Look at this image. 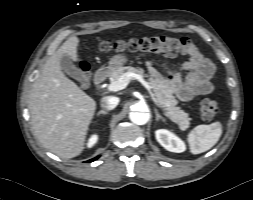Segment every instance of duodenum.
Segmentation results:
<instances>
[{
    "label": "duodenum",
    "instance_id": "obj_1",
    "mask_svg": "<svg viewBox=\"0 0 253 200\" xmlns=\"http://www.w3.org/2000/svg\"><path fill=\"white\" fill-rule=\"evenodd\" d=\"M109 72L110 71L108 68H101L97 70L93 77L94 85L95 86L101 85L105 81V79L108 77Z\"/></svg>",
    "mask_w": 253,
    "mask_h": 200
}]
</instances>
